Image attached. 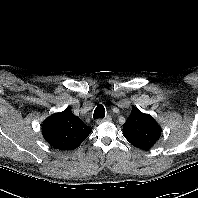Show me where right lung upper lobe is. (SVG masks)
Returning <instances> with one entry per match:
<instances>
[{
    "label": "right lung upper lobe",
    "mask_w": 198,
    "mask_h": 198,
    "mask_svg": "<svg viewBox=\"0 0 198 198\" xmlns=\"http://www.w3.org/2000/svg\"><path fill=\"white\" fill-rule=\"evenodd\" d=\"M45 140L59 150L77 148L90 134L91 128L69 108L48 117L42 124Z\"/></svg>",
    "instance_id": "right-lung-upper-lobe-1"
}]
</instances>
